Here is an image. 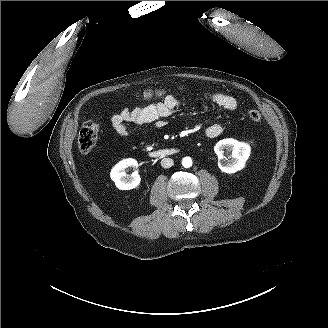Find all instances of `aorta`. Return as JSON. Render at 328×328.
Here are the masks:
<instances>
[{"mask_svg": "<svg viewBox=\"0 0 328 328\" xmlns=\"http://www.w3.org/2000/svg\"><path fill=\"white\" fill-rule=\"evenodd\" d=\"M182 165L185 168H190L192 166V159L190 157H184L182 159Z\"/></svg>", "mask_w": 328, "mask_h": 328, "instance_id": "obj_1", "label": "aorta"}]
</instances>
